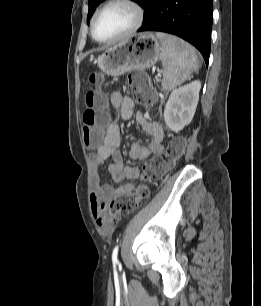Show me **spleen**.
Returning a JSON list of instances; mask_svg holds the SVG:
<instances>
[{"label":"spleen","instance_id":"1","mask_svg":"<svg viewBox=\"0 0 261 306\" xmlns=\"http://www.w3.org/2000/svg\"><path fill=\"white\" fill-rule=\"evenodd\" d=\"M156 36L162 45V87L170 91L198 69V58L194 48L182 39L162 32H157Z\"/></svg>","mask_w":261,"mask_h":306}]
</instances>
